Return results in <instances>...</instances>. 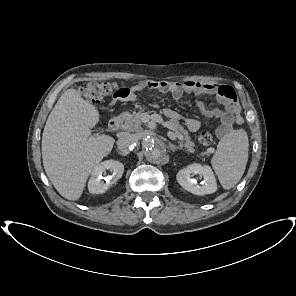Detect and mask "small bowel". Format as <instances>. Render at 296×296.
Listing matches in <instances>:
<instances>
[{
	"label": "small bowel",
	"mask_w": 296,
	"mask_h": 296,
	"mask_svg": "<svg viewBox=\"0 0 296 296\" xmlns=\"http://www.w3.org/2000/svg\"><path fill=\"white\" fill-rule=\"evenodd\" d=\"M145 89L158 90L170 94L174 99H179L184 94L202 96L215 95L220 105L206 112L209 119L217 121V133L225 134L234 124L241 122V107L238 103L236 93L231 86L224 84L186 81L184 83L174 81H142L133 85L122 97L115 100L136 101L138 93ZM165 115L173 120L179 119V114L172 109H166ZM186 126L189 131L196 132L201 127V122L196 118H187Z\"/></svg>",
	"instance_id": "1"
}]
</instances>
